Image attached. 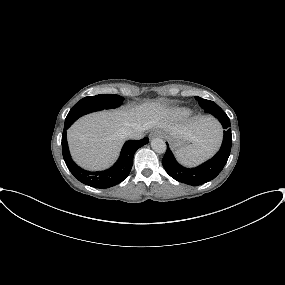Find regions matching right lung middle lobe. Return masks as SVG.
Here are the masks:
<instances>
[{"label": "right lung middle lobe", "mask_w": 285, "mask_h": 285, "mask_svg": "<svg viewBox=\"0 0 285 285\" xmlns=\"http://www.w3.org/2000/svg\"><path fill=\"white\" fill-rule=\"evenodd\" d=\"M123 98L115 94H100L88 96L77 102L69 111L64 127H70L79 117L102 109L116 108L121 105Z\"/></svg>", "instance_id": "right-lung-middle-lobe-1"}]
</instances>
